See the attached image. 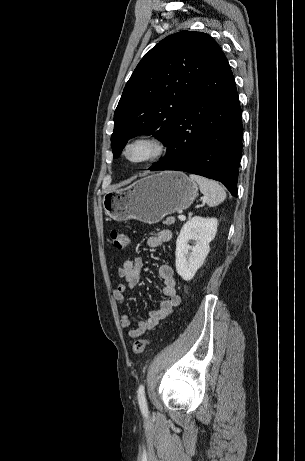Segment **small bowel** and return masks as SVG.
I'll return each instance as SVG.
<instances>
[{"mask_svg": "<svg viewBox=\"0 0 305 461\" xmlns=\"http://www.w3.org/2000/svg\"><path fill=\"white\" fill-rule=\"evenodd\" d=\"M171 238L172 232L169 229H162L148 238L147 245L152 249H158L164 243L170 241ZM142 270L143 262L139 256L124 259L118 267V275L122 279V282L113 290L114 299L121 305L120 325L123 329L128 330L130 338L140 337L170 317L181 301L180 296L176 292V280L173 268L169 264H163L159 267V275L163 281V298L160 301V307L157 310L151 311L145 320L133 325L129 316L125 313L123 304L126 293L139 283Z\"/></svg>", "mask_w": 305, "mask_h": 461, "instance_id": "1", "label": "small bowel"}]
</instances>
